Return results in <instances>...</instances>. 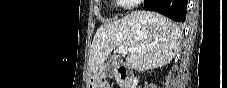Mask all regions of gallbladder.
I'll use <instances>...</instances> for the list:
<instances>
[{"label": "gallbladder", "mask_w": 227, "mask_h": 88, "mask_svg": "<svg viewBox=\"0 0 227 88\" xmlns=\"http://www.w3.org/2000/svg\"><path fill=\"white\" fill-rule=\"evenodd\" d=\"M113 64H114V60H110L106 66V71H105V75L106 76H113Z\"/></svg>", "instance_id": "obj_1"}]
</instances>
